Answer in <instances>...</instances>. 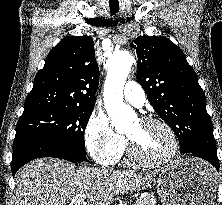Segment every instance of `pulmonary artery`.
<instances>
[{
    "instance_id": "pulmonary-artery-1",
    "label": "pulmonary artery",
    "mask_w": 222,
    "mask_h": 205,
    "mask_svg": "<svg viewBox=\"0 0 222 205\" xmlns=\"http://www.w3.org/2000/svg\"><path fill=\"white\" fill-rule=\"evenodd\" d=\"M124 98L134 106L141 107L145 102V93L135 81H128L123 90Z\"/></svg>"
}]
</instances>
